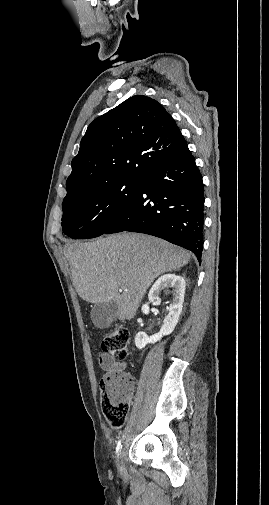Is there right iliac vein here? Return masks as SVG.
Instances as JSON below:
<instances>
[{
  "mask_svg": "<svg viewBox=\"0 0 269 505\" xmlns=\"http://www.w3.org/2000/svg\"><path fill=\"white\" fill-rule=\"evenodd\" d=\"M123 451H120L118 453V456H117V460H116V463H117V468L118 470L121 472V473H124L125 471V468H124V464H123Z\"/></svg>",
  "mask_w": 269,
  "mask_h": 505,
  "instance_id": "1",
  "label": "right iliac vein"
}]
</instances>
